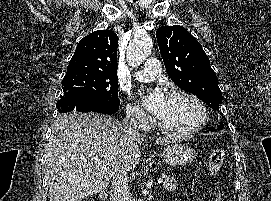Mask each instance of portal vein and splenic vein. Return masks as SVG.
I'll return each mask as SVG.
<instances>
[{
  "label": "portal vein and splenic vein",
  "instance_id": "18ae733b",
  "mask_svg": "<svg viewBox=\"0 0 271 201\" xmlns=\"http://www.w3.org/2000/svg\"><path fill=\"white\" fill-rule=\"evenodd\" d=\"M95 163H97V164H102L104 161L103 160H100V159H95V161H94ZM158 183L159 184H161V183H163V179H158Z\"/></svg>",
  "mask_w": 271,
  "mask_h": 201
}]
</instances>
